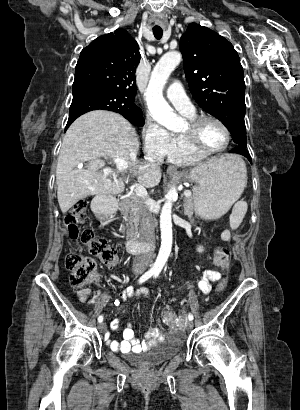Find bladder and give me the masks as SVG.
I'll list each match as a JSON object with an SVG mask.
<instances>
[{"label":"bladder","instance_id":"31cf9c89","mask_svg":"<svg viewBox=\"0 0 300 410\" xmlns=\"http://www.w3.org/2000/svg\"><path fill=\"white\" fill-rule=\"evenodd\" d=\"M179 351V345L174 342H156L151 348H148L142 353L126 354V359L130 363L139 367H153L171 359L173 356L177 355Z\"/></svg>","mask_w":300,"mask_h":410}]
</instances>
